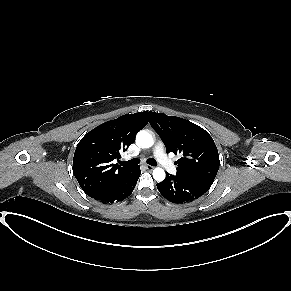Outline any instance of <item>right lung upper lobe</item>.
<instances>
[{
	"mask_svg": "<svg viewBox=\"0 0 291 291\" xmlns=\"http://www.w3.org/2000/svg\"><path fill=\"white\" fill-rule=\"evenodd\" d=\"M150 112L126 114L88 132L78 143L73 173L83 191L95 197L118 183L134 167L113 164L148 123Z\"/></svg>",
	"mask_w": 291,
	"mask_h": 291,
	"instance_id": "cb5924a9",
	"label": "right lung upper lobe"
}]
</instances>
